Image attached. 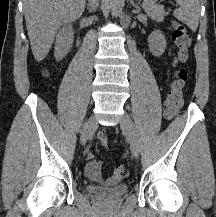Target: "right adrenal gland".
<instances>
[{"instance_id": "obj_1", "label": "right adrenal gland", "mask_w": 216, "mask_h": 217, "mask_svg": "<svg viewBox=\"0 0 216 217\" xmlns=\"http://www.w3.org/2000/svg\"><path fill=\"white\" fill-rule=\"evenodd\" d=\"M87 9H89V10L91 11V9H90V7H89V6L87 7Z\"/></svg>"}]
</instances>
